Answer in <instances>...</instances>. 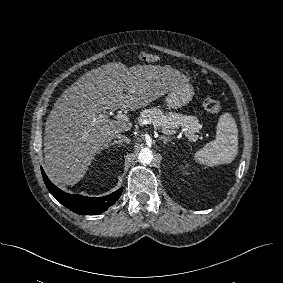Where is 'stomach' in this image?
<instances>
[{"label":"stomach","mask_w":283,"mask_h":283,"mask_svg":"<svg viewBox=\"0 0 283 283\" xmlns=\"http://www.w3.org/2000/svg\"><path fill=\"white\" fill-rule=\"evenodd\" d=\"M194 96L193 87L186 79L179 81L167 94L166 103L171 109H178L187 105Z\"/></svg>","instance_id":"stomach-1"}]
</instances>
